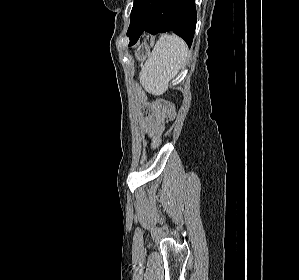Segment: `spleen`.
I'll use <instances>...</instances> for the list:
<instances>
[{
  "label": "spleen",
  "instance_id": "1",
  "mask_svg": "<svg viewBox=\"0 0 299 280\" xmlns=\"http://www.w3.org/2000/svg\"><path fill=\"white\" fill-rule=\"evenodd\" d=\"M187 57L188 47L181 38L176 35L161 36L142 67L140 83L148 93L162 95Z\"/></svg>",
  "mask_w": 299,
  "mask_h": 280
}]
</instances>
